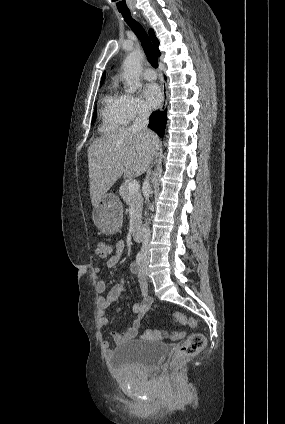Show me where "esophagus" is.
Returning <instances> with one entry per match:
<instances>
[{
  "mask_svg": "<svg viewBox=\"0 0 285 424\" xmlns=\"http://www.w3.org/2000/svg\"><path fill=\"white\" fill-rule=\"evenodd\" d=\"M167 96H168L167 89H166V87L163 86V88H162V103H161V106H160V111L161 112H163L166 109V106H167Z\"/></svg>",
  "mask_w": 285,
  "mask_h": 424,
  "instance_id": "34e87169",
  "label": "esophagus"
}]
</instances>
